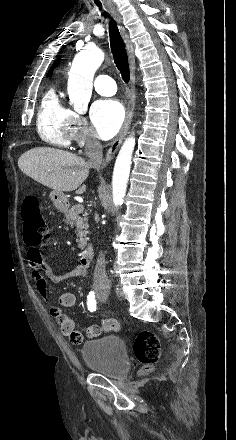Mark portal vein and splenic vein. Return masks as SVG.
<instances>
[{"mask_svg": "<svg viewBox=\"0 0 236 440\" xmlns=\"http://www.w3.org/2000/svg\"><path fill=\"white\" fill-rule=\"evenodd\" d=\"M77 209H78L79 212H82L84 210V207H83V205L78 204L77 205Z\"/></svg>", "mask_w": 236, "mask_h": 440, "instance_id": "obj_1", "label": "portal vein and splenic vein"}]
</instances>
